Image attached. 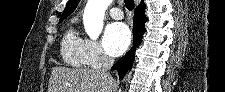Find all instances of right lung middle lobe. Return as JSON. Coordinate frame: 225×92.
Returning a JSON list of instances; mask_svg holds the SVG:
<instances>
[{
  "mask_svg": "<svg viewBox=\"0 0 225 92\" xmlns=\"http://www.w3.org/2000/svg\"><path fill=\"white\" fill-rule=\"evenodd\" d=\"M63 21V19H61L60 21H59V23H61Z\"/></svg>",
  "mask_w": 225,
  "mask_h": 92,
  "instance_id": "obj_1",
  "label": "right lung middle lobe"
}]
</instances>
